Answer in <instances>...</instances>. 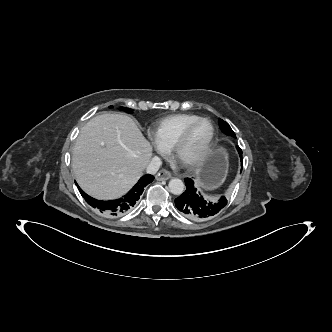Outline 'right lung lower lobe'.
I'll list each match as a JSON object with an SVG mask.
<instances>
[{
    "mask_svg": "<svg viewBox=\"0 0 332 332\" xmlns=\"http://www.w3.org/2000/svg\"><path fill=\"white\" fill-rule=\"evenodd\" d=\"M152 175H144L140 178L137 184L121 199L112 201H100L87 195L76 183L80 194L85 198L86 202L93 208H98L101 212L109 215H119L128 212L139 200L143 193L144 187L153 181Z\"/></svg>",
    "mask_w": 332,
    "mask_h": 332,
    "instance_id": "right-lung-lower-lobe-1",
    "label": "right lung lower lobe"
}]
</instances>
